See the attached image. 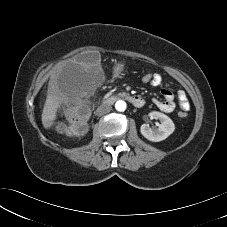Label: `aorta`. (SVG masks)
<instances>
[{
	"label": "aorta",
	"mask_w": 227,
	"mask_h": 227,
	"mask_svg": "<svg viewBox=\"0 0 227 227\" xmlns=\"http://www.w3.org/2000/svg\"><path fill=\"white\" fill-rule=\"evenodd\" d=\"M127 104L125 101L123 100H118L115 103V109L119 112H124L126 110Z\"/></svg>",
	"instance_id": "762f6f07"
}]
</instances>
